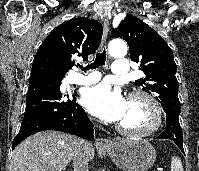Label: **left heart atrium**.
Returning <instances> with one entry per match:
<instances>
[{"label": "left heart atrium", "mask_w": 199, "mask_h": 171, "mask_svg": "<svg viewBox=\"0 0 199 171\" xmlns=\"http://www.w3.org/2000/svg\"><path fill=\"white\" fill-rule=\"evenodd\" d=\"M82 104L92 115L106 122H119L127 107L121 91L106 82L84 90Z\"/></svg>", "instance_id": "left-heart-atrium-1"}]
</instances>
